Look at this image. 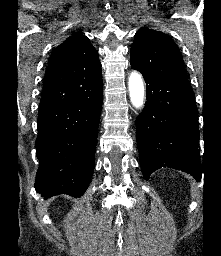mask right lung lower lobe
Returning <instances> with one entry per match:
<instances>
[{
  "label": "right lung lower lobe",
  "mask_w": 221,
  "mask_h": 256,
  "mask_svg": "<svg viewBox=\"0 0 221 256\" xmlns=\"http://www.w3.org/2000/svg\"><path fill=\"white\" fill-rule=\"evenodd\" d=\"M103 87L63 105L39 111L35 189L43 197H81L95 167Z\"/></svg>",
  "instance_id": "obj_1"
}]
</instances>
